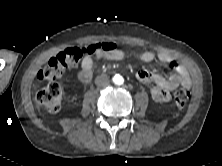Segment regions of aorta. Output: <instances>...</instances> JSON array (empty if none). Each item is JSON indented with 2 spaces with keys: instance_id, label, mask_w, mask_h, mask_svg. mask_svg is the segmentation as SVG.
I'll return each mask as SVG.
<instances>
[{
  "instance_id": "obj_1",
  "label": "aorta",
  "mask_w": 222,
  "mask_h": 166,
  "mask_svg": "<svg viewBox=\"0 0 222 166\" xmlns=\"http://www.w3.org/2000/svg\"><path fill=\"white\" fill-rule=\"evenodd\" d=\"M113 81H114L115 84L121 85V84H123L124 79L121 75H115L114 78H113Z\"/></svg>"
}]
</instances>
